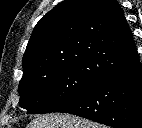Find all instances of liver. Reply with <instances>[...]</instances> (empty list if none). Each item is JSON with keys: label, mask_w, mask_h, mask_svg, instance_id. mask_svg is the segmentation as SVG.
Instances as JSON below:
<instances>
[{"label": "liver", "mask_w": 142, "mask_h": 128, "mask_svg": "<svg viewBox=\"0 0 142 128\" xmlns=\"http://www.w3.org/2000/svg\"><path fill=\"white\" fill-rule=\"evenodd\" d=\"M26 128H105L98 123L69 114L37 116Z\"/></svg>", "instance_id": "obj_1"}]
</instances>
